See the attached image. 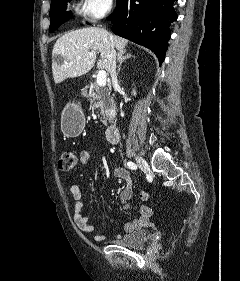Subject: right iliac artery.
<instances>
[{"label":"right iliac artery","mask_w":240,"mask_h":281,"mask_svg":"<svg viewBox=\"0 0 240 281\" xmlns=\"http://www.w3.org/2000/svg\"><path fill=\"white\" fill-rule=\"evenodd\" d=\"M126 165H127L128 168H130L132 170H136L137 169V165L135 163H133V162L129 161V162L126 163Z\"/></svg>","instance_id":"1"}]
</instances>
